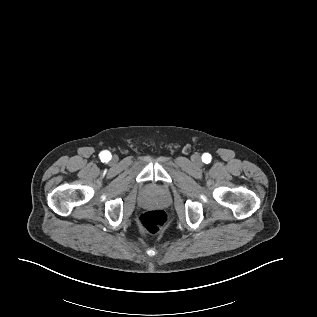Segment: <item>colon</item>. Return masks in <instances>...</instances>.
<instances>
[{
  "instance_id": "5ec220e1",
  "label": "colon",
  "mask_w": 317,
  "mask_h": 317,
  "mask_svg": "<svg viewBox=\"0 0 317 317\" xmlns=\"http://www.w3.org/2000/svg\"><path fill=\"white\" fill-rule=\"evenodd\" d=\"M167 214L162 209L145 211L139 217L141 227L148 233H157L166 223Z\"/></svg>"
}]
</instances>
